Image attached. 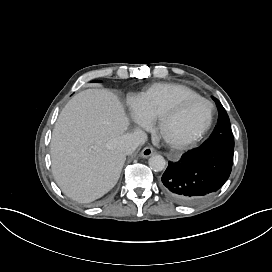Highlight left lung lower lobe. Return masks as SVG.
Instances as JSON below:
<instances>
[{"mask_svg": "<svg viewBox=\"0 0 272 272\" xmlns=\"http://www.w3.org/2000/svg\"><path fill=\"white\" fill-rule=\"evenodd\" d=\"M233 154V149L215 146L190 150L178 162L168 164L161 178V190L177 204H195L226 182Z\"/></svg>", "mask_w": 272, "mask_h": 272, "instance_id": "0a47b994", "label": "left lung lower lobe"}]
</instances>
